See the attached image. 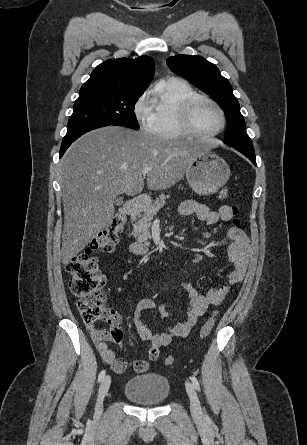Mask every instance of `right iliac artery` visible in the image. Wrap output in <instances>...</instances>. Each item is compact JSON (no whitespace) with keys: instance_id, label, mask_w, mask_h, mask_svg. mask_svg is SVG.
<instances>
[{"instance_id":"1","label":"right iliac artery","mask_w":307,"mask_h":445,"mask_svg":"<svg viewBox=\"0 0 307 445\" xmlns=\"http://www.w3.org/2000/svg\"><path fill=\"white\" fill-rule=\"evenodd\" d=\"M105 374H106V371H105V370H102V371L99 373V376H98V382H101V381L104 379Z\"/></svg>"}]
</instances>
